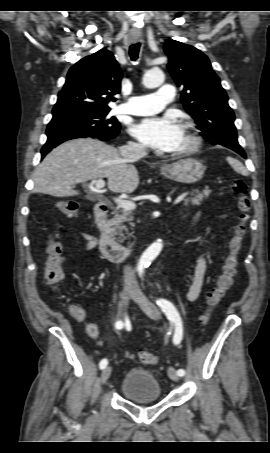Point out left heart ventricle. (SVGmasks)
Listing matches in <instances>:
<instances>
[{"label":"left heart ventricle","mask_w":270,"mask_h":453,"mask_svg":"<svg viewBox=\"0 0 270 453\" xmlns=\"http://www.w3.org/2000/svg\"><path fill=\"white\" fill-rule=\"evenodd\" d=\"M188 144H189V138H188L187 132L181 127L179 139L171 151L175 152V151L181 150V149L185 148Z\"/></svg>","instance_id":"left-heart-ventricle-1"}]
</instances>
